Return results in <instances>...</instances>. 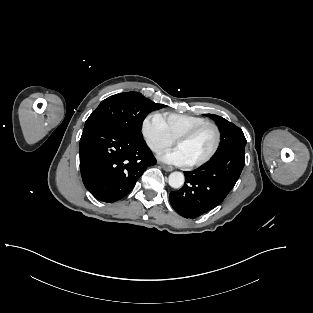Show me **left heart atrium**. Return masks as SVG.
I'll return each mask as SVG.
<instances>
[{
  "instance_id": "obj_1",
  "label": "left heart atrium",
  "mask_w": 313,
  "mask_h": 313,
  "mask_svg": "<svg viewBox=\"0 0 313 313\" xmlns=\"http://www.w3.org/2000/svg\"><path fill=\"white\" fill-rule=\"evenodd\" d=\"M159 157L163 162L177 166H187L190 164L185 153L178 147L163 152Z\"/></svg>"
}]
</instances>
